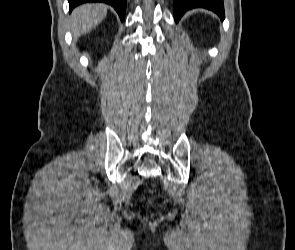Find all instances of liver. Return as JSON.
Returning a JSON list of instances; mask_svg holds the SVG:
<instances>
[{
	"instance_id": "liver-1",
	"label": "liver",
	"mask_w": 295,
	"mask_h": 250,
	"mask_svg": "<svg viewBox=\"0 0 295 250\" xmlns=\"http://www.w3.org/2000/svg\"><path fill=\"white\" fill-rule=\"evenodd\" d=\"M106 14L107 6L104 4L88 3L76 7L71 14V31L74 39L94 29Z\"/></svg>"
}]
</instances>
